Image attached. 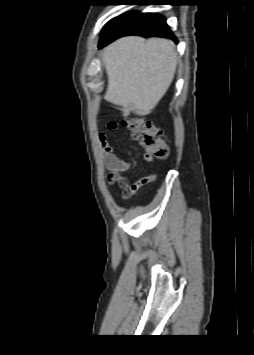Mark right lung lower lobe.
<instances>
[{"label":"right lung lower lobe","instance_id":"98d812e1","mask_svg":"<svg viewBox=\"0 0 254 355\" xmlns=\"http://www.w3.org/2000/svg\"><path fill=\"white\" fill-rule=\"evenodd\" d=\"M126 35H138L142 37H166L177 42L176 37L166 24V19L159 14L127 13L112 19L103 29L99 48Z\"/></svg>","mask_w":254,"mask_h":355}]
</instances>
